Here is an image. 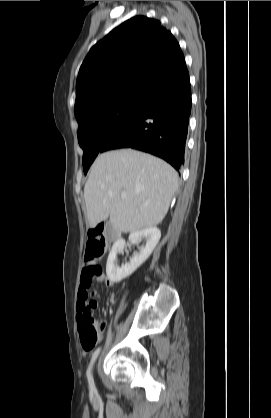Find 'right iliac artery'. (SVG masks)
Wrapping results in <instances>:
<instances>
[{"label":"right iliac artery","instance_id":"obj_1","mask_svg":"<svg viewBox=\"0 0 271 418\" xmlns=\"http://www.w3.org/2000/svg\"><path fill=\"white\" fill-rule=\"evenodd\" d=\"M100 350H101V348L98 347L94 351V353L92 355V358H91V361H90V364H89V367L87 369V379H88V383H89V386H90L91 391H94L95 390V384H94V380H93V377H92V374H91V367H92L94 361L96 360V358L98 357V355L100 353Z\"/></svg>","mask_w":271,"mask_h":418}]
</instances>
